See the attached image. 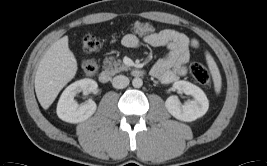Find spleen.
Masks as SVG:
<instances>
[{
    "label": "spleen",
    "instance_id": "3e777b00",
    "mask_svg": "<svg viewBox=\"0 0 267 166\" xmlns=\"http://www.w3.org/2000/svg\"><path fill=\"white\" fill-rule=\"evenodd\" d=\"M207 61H208L209 69H210V71L212 73L215 90H216L217 93H219L220 89H221V75H220V72L218 70V67H217L216 63L214 62V60L211 57H208Z\"/></svg>",
    "mask_w": 267,
    "mask_h": 166
}]
</instances>
